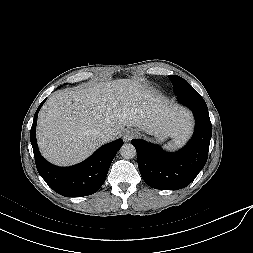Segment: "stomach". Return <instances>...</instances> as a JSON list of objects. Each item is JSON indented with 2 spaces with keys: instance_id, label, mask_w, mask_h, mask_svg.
Instances as JSON below:
<instances>
[{
  "instance_id": "stomach-1",
  "label": "stomach",
  "mask_w": 253,
  "mask_h": 253,
  "mask_svg": "<svg viewBox=\"0 0 253 253\" xmlns=\"http://www.w3.org/2000/svg\"><path fill=\"white\" fill-rule=\"evenodd\" d=\"M153 135H154V137H155V139H156L157 142L164 141L167 138V136H168L167 134H165L163 132H158V133H155Z\"/></svg>"
}]
</instances>
